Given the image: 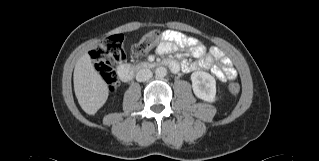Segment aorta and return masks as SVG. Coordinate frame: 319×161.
Instances as JSON below:
<instances>
[{"mask_svg":"<svg viewBox=\"0 0 319 161\" xmlns=\"http://www.w3.org/2000/svg\"><path fill=\"white\" fill-rule=\"evenodd\" d=\"M155 75L158 78H164L167 75V69L165 67H157L155 69Z\"/></svg>","mask_w":319,"mask_h":161,"instance_id":"762f6f07","label":"aorta"}]
</instances>
